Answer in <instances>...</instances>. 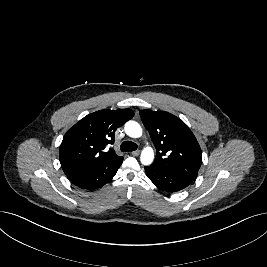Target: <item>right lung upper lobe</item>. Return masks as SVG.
I'll return each mask as SVG.
<instances>
[{
    "label": "right lung upper lobe",
    "mask_w": 267,
    "mask_h": 267,
    "mask_svg": "<svg viewBox=\"0 0 267 267\" xmlns=\"http://www.w3.org/2000/svg\"><path fill=\"white\" fill-rule=\"evenodd\" d=\"M134 116L131 109L99 110L81 119L63 137L59 149L61 167L66 175L108 160L122 158L114 150H105L114 143V134Z\"/></svg>",
    "instance_id": "cb5924a9"
}]
</instances>
